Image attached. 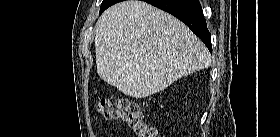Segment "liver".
Masks as SVG:
<instances>
[{"label":"liver","instance_id":"1","mask_svg":"<svg viewBox=\"0 0 280 137\" xmlns=\"http://www.w3.org/2000/svg\"><path fill=\"white\" fill-rule=\"evenodd\" d=\"M95 53L100 78L134 98L211 64L207 48L184 23L138 0L117 3L101 15Z\"/></svg>","mask_w":280,"mask_h":137}]
</instances>
